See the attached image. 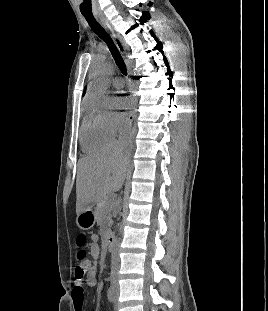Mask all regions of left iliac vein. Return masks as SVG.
<instances>
[{
  "mask_svg": "<svg viewBox=\"0 0 268 311\" xmlns=\"http://www.w3.org/2000/svg\"><path fill=\"white\" fill-rule=\"evenodd\" d=\"M117 299H118V288H115V294H114V309L118 310V303H117Z\"/></svg>",
  "mask_w": 268,
  "mask_h": 311,
  "instance_id": "obj_1",
  "label": "left iliac vein"
}]
</instances>
